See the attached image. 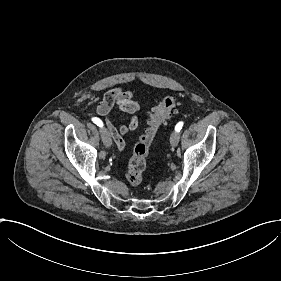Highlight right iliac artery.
Here are the masks:
<instances>
[{"instance_id":"right-iliac-artery-1","label":"right iliac artery","mask_w":281,"mask_h":281,"mask_svg":"<svg viewBox=\"0 0 281 281\" xmlns=\"http://www.w3.org/2000/svg\"><path fill=\"white\" fill-rule=\"evenodd\" d=\"M92 121H93L95 124H97V126L103 127V123H102V121H101L99 118L94 117V118H92Z\"/></svg>"}]
</instances>
